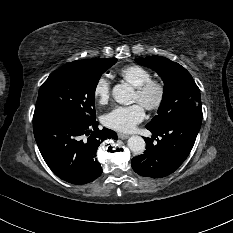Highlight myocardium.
Listing matches in <instances>:
<instances>
[{"label":"myocardium","mask_w":233,"mask_h":233,"mask_svg":"<svg viewBox=\"0 0 233 233\" xmlns=\"http://www.w3.org/2000/svg\"><path fill=\"white\" fill-rule=\"evenodd\" d=\"M139 102L149 111L159 109L166 96V86L161 79H149L144 84L136 88ZM153 94V97L150 96Z\"/></svg>","instance_id":"f54148a6"}]
</instances>
